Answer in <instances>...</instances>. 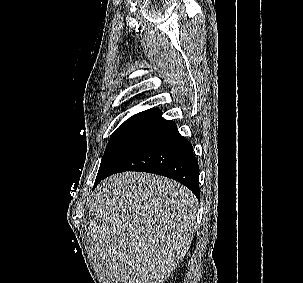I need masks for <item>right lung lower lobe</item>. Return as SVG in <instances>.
<instances>
[{
  "label": "right lung lower lobe",
  "mask_w": 303,
  "mask_h": 283,
  "mask_svg": "<svg viewBox=\"0 0 303 283\" xmlns=\"http://www.w3.org/2000/svg\"><path fill=\"white\" fill-rule=\"evenodd\" d=\"M124 171H142L172 178L188 187L198 198L199 166L192 145L183 138L173 121L158 117L122 154L104 178Z\"/></svg>",
  "instance_id": "98d812e1"
}]
</instances>
